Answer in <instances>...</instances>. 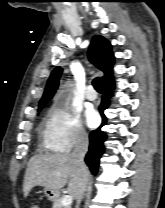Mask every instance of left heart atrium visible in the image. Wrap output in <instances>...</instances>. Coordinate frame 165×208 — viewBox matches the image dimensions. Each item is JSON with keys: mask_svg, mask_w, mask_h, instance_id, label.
Segmentation results:
<instances>
[{"mask_svg": "<svg viewBox=\"0 0 165 208\" xmlns=\"http://www.w3.org/2000/svg\"><path fill=\"white\" fill-rule=\"evenodd\" d=\"M86 123L89 127H95L98 124L99 116L97 112L93 109H89L85 114Z\"/></svg>", "mask_w": 165, "mask_h": 208, "instance_id": "39dd6f15", "label": "left heart atrium"}]
</instances>
